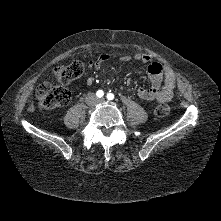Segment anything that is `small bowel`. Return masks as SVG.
<instances>
[{
	"label": "small bowel",
	"instance_id": "obj_1",
	"mask_svg": "<svg viewBox=\"0 0 221 221\" xmlns=\"http://www.w3.org/2000/svg\"><path fill=\"white\" fill-rule=\"evenodd\" d=\"M111 55L102 54L97 58L91 59L89 65L91 68H99L111 59ZM123 62L136 60L148 64V76L150 79L149 87H140L138 96L146 101L167 102L170 101L176 89V78L173 71L158 62H153L152 58L145 53H136L134 55H122L119 58ZM88 84L93 83L92 78L87 79ZM161 83L163 85L161 86Z\"/></svg>",
	"mask_w": 221,
	"mask_h": 221
}]
</instances>
